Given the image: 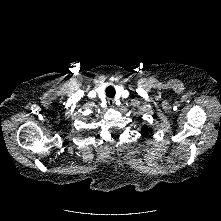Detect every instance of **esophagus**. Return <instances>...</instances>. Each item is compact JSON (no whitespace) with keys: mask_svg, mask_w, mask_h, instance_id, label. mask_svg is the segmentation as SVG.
<instances>
[{"mask_svg":"<svg viewBox=\"0 0 221 221\" xmlns=\"http://www.w3.org/2000/svg\"><path fill=\"white\" fill-rule=\"evenodd\" d=\"M107 102H108L109 106H113L114 103H115V100L112 99V98H109V99L107 100Z\"/></svg>","mask_w":221,"mask_h":221,"instance_id":"34e87169","label":"esophagus"}]
</instances>
